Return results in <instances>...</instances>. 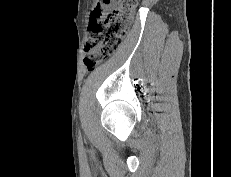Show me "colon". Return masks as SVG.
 I'll return each instance as SVG.
<instances>
[{
    "label": "colon",
    "mask_w": 231,
    "mask_h": 177,
    "mask_svg": "<svg viewBox=\"0 0 231 177\" xmlns=\"http://www.w3.org/2000/svg\"><path fill=\"white\" fill-rule=\"evenodd\" d=\"M102 4H115L116 8L103 21H98L99 5L90 20V35L84 47V64L88 70H93L117 50L132 23L138 0H102Z\"/></svg>",
    "instance_id": "obj_1"
}]
</instances>
